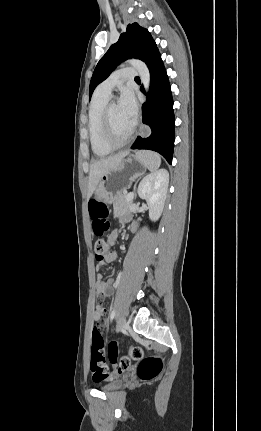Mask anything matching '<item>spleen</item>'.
Here are the masks:
<instances>
[{
    "label": "spleen",
    "mask_w": 261,
    "mask_h": 431,
    "mask_svg": "<svg viewBox=\"0 0 261 431\" xmlns=\"http://www.w3.org/2000/svg\"><path fill=\"white\" fill-rule=\"evenodd\" d=\"M137 154L150 171H155L160 167L161 158L157 153L142 151Z\"/></svg>",
    "instance_id": "1"
}]
</instances>
